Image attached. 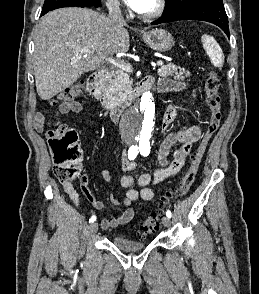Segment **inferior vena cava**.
<instances>
[{
  "label": "inferior vena cava",
  "instance_id": "602c4592",
  "mask_svg": "<svg viewBox=\"0 0 259 294\" xmlns=\"http://www.w3.org/2000/svg\"><path fill=\"white\" fill-rule=\"evenodd\" d=\"M109 19L116 29H122L126 24L118 2L109 5Z\"/></svg>",
  "mask_w": 259,
  "mask_h": 294
}]
</instances>
